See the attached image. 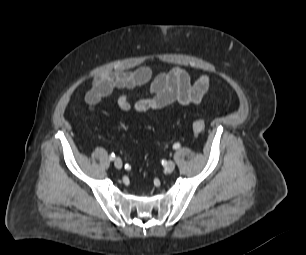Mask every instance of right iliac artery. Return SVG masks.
Wrapping results in <instances>:
<instances>
[{
	"label": "right iliac artery",
	"instance_id": "82829eb1",
	"mask_svg": "<svg viewBox=\"0 0 306 255\" xmlns=\"http://www.w3.org/2000/svg\"><path fill=\"white\" fill-rule=\"evenodd\" d=\"M109 159H110V160H114V159H115V154L112 153V154L109 156Z\"/></svg>",
	"mask_w": 306,
	"mask_h": 255
}]
</instances>
